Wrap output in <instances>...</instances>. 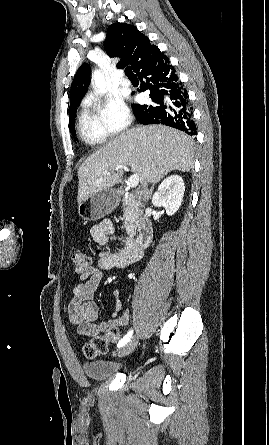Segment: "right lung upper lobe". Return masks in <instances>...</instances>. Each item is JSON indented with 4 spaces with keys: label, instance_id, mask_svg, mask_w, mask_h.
<instances>
[{
    "label": "right lung upper lobe",
    "instance_id": "right-lung-upper-lobe-1",
    "mask_svg": "<svg viewBox=\"0 0 269 445\" xmlns=\"http://www.w3.org/2000/svg\"><path fill=\"white\" fill-rule=\"evenodd\" d=\"M105 49L111 57L121 58L118 67L130 64L136 73L163 55L158 47L151 45L148 37L139 32L135 26L119 22L108 27ZM90 72L87 63L81 65L76 72L71 86L70 108L78 104L85 95L89 86Z\"/></svg>",
    "mask_w": 269,
    "mask_h": 445
}]
</instances>
